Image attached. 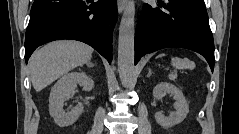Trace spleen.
Listing matches in <instances>:
<instances>
[{"label": "spleen", "mask_w": 239, "mask_h": 134, "mask_svg": "<svg viewBox=\"0 0 239 134\" xmlns=\"http://www.w3.org/2000/svg\"><path fill=\"white\" fill-rule=\"evenodd\" d=\"M166 54H161L158 57H164ZM171 64L176 69H189L193 70L195 68V63L188 58H179V57H172Z\"/></svg>", "instance_id": "spleen-1"}]
</instances>
